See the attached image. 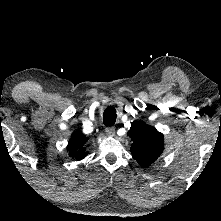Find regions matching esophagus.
Returning <instances> with one entry per match:
<instances>
[{
	"label": "esophagus",
	"mask_w": 221,
	"mask_h": 221,
	"mask_svg": "<svg viewBox=\"0 0 221 221\" xmlns=\"http://www.w3.org/2000/svg\"><path fill=\"white\" fill-rule=\"evenodd\" d=\"M105 132L108 136H114L115 135V128L114 127H107L105 129Z\"/></svg>",
	"instance_id": "esophagus-1"
}]
</instances>
